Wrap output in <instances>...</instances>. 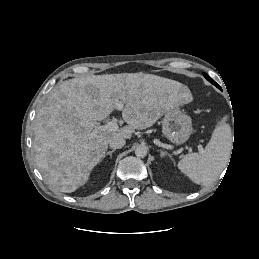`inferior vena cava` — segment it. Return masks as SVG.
I'll use <instances>...</instances> for the list:
<instances>
[{
	"label": "inferior vena cava",
	"mask_w": 259,
	"mask_h": 259,
	"mask_svg": "<svg viewBox=\"0 0 259 259\" xmlns=\"http://www.w3.org/2000/svg\"><path fill=\"white\" fill-rule=\"evenodd\" d=\"M125 139L123 138H112L109 141V145L113 149H119L122 148L125 145Z\"/></svg>",
	"instance_id": "obj_1"
}]
</instances>
